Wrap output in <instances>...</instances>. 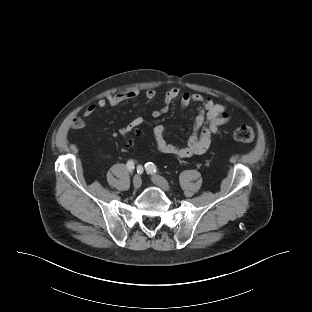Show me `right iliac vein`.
<instances>
[{
	"instance_id": "right-iliac-vein-1",
	"label": "right iliac vein",
	"mask_w": 312,
	"mask_h": 312,
	"mask_svg": "<svg viewBox=\"0 0 312 312\" xmlns=\"http://www.w3.org/2000/svg\"><path fill=\"white\" fill-rule=\"evenodd\" d=\"M142 184V179L139 175L134 176L133 178V186L135 189H139Z\"/></svg>"
}]
</instances>
